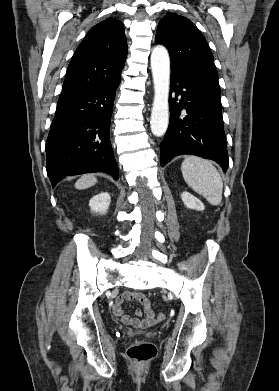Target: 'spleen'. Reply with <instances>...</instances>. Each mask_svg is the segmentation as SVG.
I'll list each match as a JSON object with an SVG mask.
<instances>
[{
	"mask_svg": "<svg viewBox=\"0 0 279 391\" xmlns=\"http://www.w3.org/2000/svg\"><path fill=\"white\" fill-rule=\"evenodd\" d=\"M181 171L185 182L214 206L222 201V178L211 161L188 156L182 162Z\"/></svg>",
	"mask_w": 279,
	"mask_h": 391,
	"instance_id": "3e777b00",
	"label": "spleen"
}]
</instances>
